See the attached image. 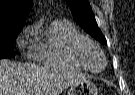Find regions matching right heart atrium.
<instances>
[{"label": "right heart atrium", "instance_id": "obj_1", "mask_svg": "<svg viewBox=\"0 0 135 95\" xmlns=\"http://www.w3.org/2000/svg\"><path fill=\"white\" fill-rule=\"evenodd\" d=\"M32 33H33V29H31L30 27L25 28L18 38V44L24 47V44L26 43V46H25L26 54L30 58L36 59V54H37L36 41L35 40L26 41L32 35Z\"/></svg>", "mask_w": 135, "mask_h": 95}]
</instances>
